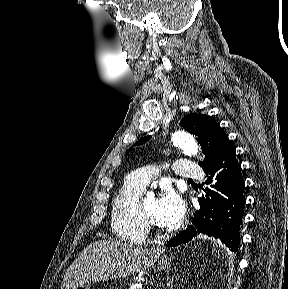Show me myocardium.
<instances>
[{"instance_id":"f54148a6","label":"myocardium","mask_w":288,"mask_h":289,"mask_svg":"<svg viewBox=\"0 0 288 289\" xmlns=\"http://www.w3.org/2000/svg\"><path fill=\"white\" fill-rule=\"evenodd\" d=\"M136 217L139 225L146 231H154L156 233H160V230L154 224L152 220H150L144 213L142 208V199L139 198L136 204Z\"/></svg>"}]
</instances>
